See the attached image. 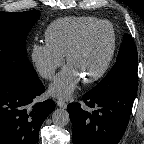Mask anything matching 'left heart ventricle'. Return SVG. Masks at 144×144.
<instances>
[{
    "label": "left heart ventricle",
    "instance_id": "1",
    "mask_svg": "<svg viewBox=\"0 0 144 144\" xmlns=\"http://www.w3.org/2000/svg\"><path fill=\"white\" fill-rule=\"evenodd\" d=\"M111 46V29L108 25L91 32L70 60L81 76L87 78L100 69Z\"/></svg>",
    "mask_w": 144,
    "mask_h": 144
}]
</instances>
